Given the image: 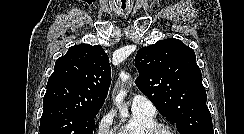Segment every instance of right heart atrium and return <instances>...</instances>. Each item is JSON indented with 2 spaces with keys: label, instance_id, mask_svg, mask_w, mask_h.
Masks as SVG:
<instances>
[{
  "label": "right heart atrium",
  "instance_id": "d8ad5b80",
  "mask_svg": "<svg viewBox=\"0 0 244 134\" xmlns=\"http://www.w3.org/2000/svg\"><path fill=\"white\" fill-rule=\"evenodd\" d=\"M112 124L113 115L111 113L103 115L96 125L95 134H113Z\"/></svg>",
  "mask_w": 244,
  "mask_h": 134
}]
</instances>
